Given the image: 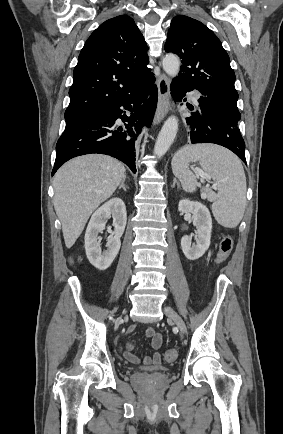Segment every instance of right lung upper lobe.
I'll list each match as a JSON object with an SVG mask.
<instances>
[{
  "label": "right lung upper lobe",
  "mask_w": 283,
  "mask_h": 434,
  "mask_svg": "<svg viewBox=\"0 0 283 434\" xmlns=\"http://www.w3.org/2000/svg\"><path fill=\"white\" fill-rule=\"evenodd\" d=\"M147 50L131 17L121 15L102 23L80 52L65 119L99 110L134 91L151 73Z\"/></svg>",
  "instance_id": "1"
}]
</instances>
